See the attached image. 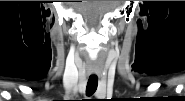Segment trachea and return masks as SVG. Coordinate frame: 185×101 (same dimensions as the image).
<instances>
[{"label":"trachea","instance_id":"3493384b","mask_svg":"<svg viewBox=\"0 0 185 101\" xmlns=\"http://www.w3.org/2000/svg\"><path fill=\"white\" fill-rule=\"evenodd\" d=\"M98 86V78L97 76H90L88 82H87V87H86V94L88 96H91L94 94Z\"/></svg>","mask_w":185,"mask_h":101}]
</instances>
